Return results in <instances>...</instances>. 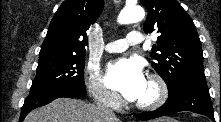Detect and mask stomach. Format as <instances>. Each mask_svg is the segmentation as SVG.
Instances as JSON below:
<instances>
[{
  "mask_svg": "<svg viewBox=\"0 0 221 122\" xmlns=\"http://www.w3.org/2000/svg\"><path fill=\"white\" fill-rule=\"evenodd\" d=\"M154 122H177V121L171 118H160V119L155 120Z\"/></svg>",
  "mask_w": 221,
  "mask_h": 122,
  "instance_id": "1",
  "label": "stomach"
}]
</instances>
